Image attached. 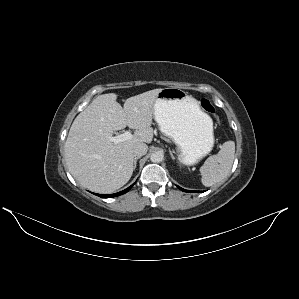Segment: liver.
<instances>
[{"label":"liver","mask_w":299,"mask_h":299,"mask_svg":"<svg viewBox=\"0 0 299 299\" xmlns=\"http://www.w3.org/2000/svg\"><path fill=\"white\" fill-rule=\"evenodd\" d=\"M161 90L130 97L123 108L115 93L102 94L75 118L64 151L67 168L79 184L97 193H112L129 181L134 147L153 139L154 103ZM126 126L135 129L132 139L109 141Z\"/></svg>","instance_id":"1"}]
</instances>
